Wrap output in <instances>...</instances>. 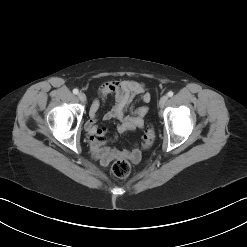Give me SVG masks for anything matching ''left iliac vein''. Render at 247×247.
Wrapping results in <instances>:
<instances>
[{"label": "left iliac vein", "mask_w": 247, "mask_h": 247, "mask_svg": "<svg viewBox=\"0 0 247 247\" xmlns=\"http://www.w3.org/2000/svg\"><path fill=\"white\" fill-rule=\"evenodd\" d=\"M168 101V96L167 95H163L161 98H160V101H159V106L161 108H163L166 104V102Z\"/></svg>", "instance_id": "1"}]
</instances>
